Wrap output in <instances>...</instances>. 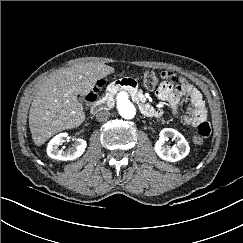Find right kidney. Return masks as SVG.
Instances as JSON below:
<instances>
[{
	"instance_id": "obj_1",
	"label": "right kidney",
	"mask_w": 243,
	"mask_h": 243,
	"mask_svg": "<svg viewBox=\"0 0 243 243\" xmlns=\"http://www.w3.org/2000/svg\"><path fill=\"white\" fill-rule=\"evenodd\" d=\"M68 139V133H60L53 137L47 146L49 157L57 160L68 161L79 158L85 151L87 143L83 139H77L68 149H60L59 146Z\"/></svg>"
}]
</instances>
